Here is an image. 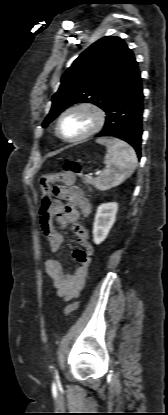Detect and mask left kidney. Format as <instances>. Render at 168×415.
<instances>
[{
  "instance_id": "left-kidney-1",
  "label": "left kidney",
  "mask_w": 168,
  "mask_h": 415,
  "mask_svg": "<svg viewBox=\"0 0 168 415\" xmlns=\"http://www.w3.org/2000/svg\"><path fill=\"white\" fill-rule=\"evenodd\" d=\"M117 211L118 204L115 202L104 203L97 208L93 225V241L95 244H100L106 239L115 222Z\"/></svg>"
}]
</instances>
